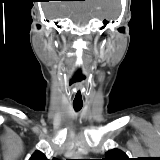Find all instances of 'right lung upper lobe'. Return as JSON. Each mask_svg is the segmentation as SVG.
<instances>
[{
  "label": "right lung upper lobe",
  "instance_id": "right-lung-upper-lobe-1",
  "mask_svg": "<svg viewBox=\"0 0 160 160\" xmlns=\"http://www.w3.org/2000/svg\"><path fill=\"white\" fill-rule=\"evenodd\" d=\"M29 160H48L44 153L41 151H35ZM53 160H57L53 158Z\"/></svg>",
  "mask_w": 160,
  "mask_h": 160
}]
</instances>
